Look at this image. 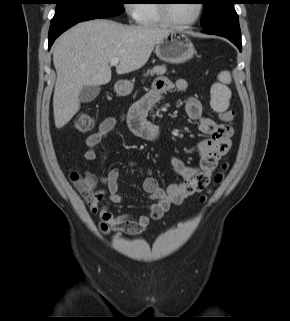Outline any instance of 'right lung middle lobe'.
I'll list each match as a JSON object with an SVG mask.
<instances>
[{"instance_id": "obj_1", "label": "right lung middle lobe", "mask_w": 290, "mask_h": 321, "mask_svg": "<svg viewBox=\"0 0 290 321\" xmlns=\"http://www.w3.org/2000/svg\"><path fill=\"white\" fill-rule=\"evenodd\" d=\"M124 0H55L51 25L86 21L119 15L125 11Z\"/></svg>"}]
</instances>
